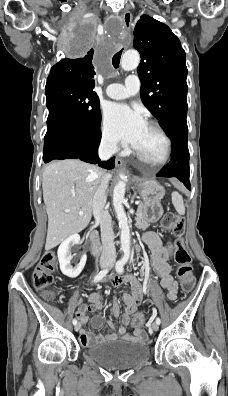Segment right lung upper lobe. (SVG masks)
Returning <instances> with one entry per match:
<instances>
[{
	"instance_id": "right-lung-upper-lobe-1",
	"label": "right lung upper lobe",
	"mask_w": 228,
	"mask_h": 396,
	"mask_svg": "<svg viewBox=\"0 0 228 396\" xmlns=\"http://www.w3.org/2000/svg\"><path fill=\"white\" fill-rule=\"evenodd\" d=\"M93 54L94 51L91 49L83 57L62 59L51 68L47 80H72L93 89L95 86Z\"/></svg>"
}]
</instances>
